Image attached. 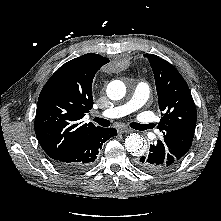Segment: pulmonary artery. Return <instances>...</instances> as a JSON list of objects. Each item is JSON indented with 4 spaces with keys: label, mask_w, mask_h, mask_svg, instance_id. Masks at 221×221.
<instances>
[{
    "label": "pulmonary artery",
    "mask_w": 221,
    "mask_h": 221,
    "mask_svg": "<svg viewBox=\"0 0 221 221\" xmlns=\"http://www.w3.org/2000/svg\"><path fill=\"white\" fill-rule=\"evenodd\" d=\"M150 94L149 85L145 82H140L134 89L131 98L122 105L110 108L102 112L105 118H119L128 115L140 109L148 100Z\"/></svg>",
    "instance_id": "obj_1"
}]
</instances>
